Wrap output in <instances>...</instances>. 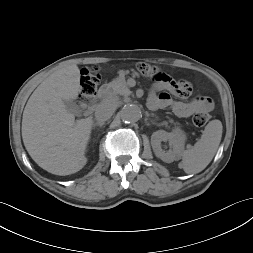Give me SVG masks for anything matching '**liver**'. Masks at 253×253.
<instances>
[{
	"label": "liver",
	"instance_id": "liver-1",
	"mask_svg": "<svg viewBox=\"0 0 253 253\" xmlns=\"http://www.w3.org/2000/svg\"><path fill=\"white\" fill-rule=\"evenodd\" d=\"M80 70L67 65L48 76L30 96L22 117V139L31 158L55 175H70L87 163L92 117L75 121L64 101L76 100Z\"/></svg>",
	"mask_w": 253,
	"mask_h": 253
}]
</instances>
